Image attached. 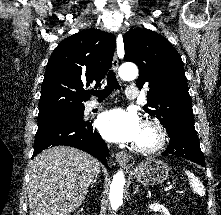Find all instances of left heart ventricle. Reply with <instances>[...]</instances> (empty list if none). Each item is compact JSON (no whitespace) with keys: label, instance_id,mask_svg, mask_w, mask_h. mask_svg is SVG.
<instances>
[{"label":"left heart ventricle","instance_id":"b2bd125f","mask_svg":"<svg viewBox=\"0 0 221 215\" xmlns=\"http://www.w3.org/2000/svg\"><path fill=\"white\" fill-rule=\"evenodd\" d=\"M154 141V134L151 130L149 129H145V128H141V133L137 139V143L140 144H151Z\"/></svg>","mask_w":221,"mask_h":215}]
</instances>
